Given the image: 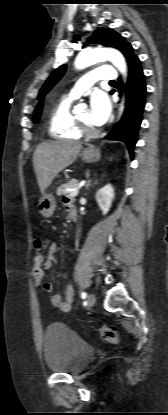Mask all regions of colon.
Segmentation results:
<instances>
[{"label":"colon","mask_w":168,"mask_h":415,"mask_svg":"<svg viewBox=\"0 0 168 415\" xmlns=\"http://www.w3.org/2000/svg\"><path fill=\"white\" fill-rule=\"evenodd\" d=\"M34 245L37 250H41L42 241L40 239H36ZM45 262L46 253L44 251H38L32 267L31 281L34 282V289H38L41 285V281L43 280L45 273ZM99 333L102 338L109 343L115 344L119 341L118 333L116 329L112 327L102 326L99 328Z\"/></svg>","instance_id":"1"}]
</instances>
